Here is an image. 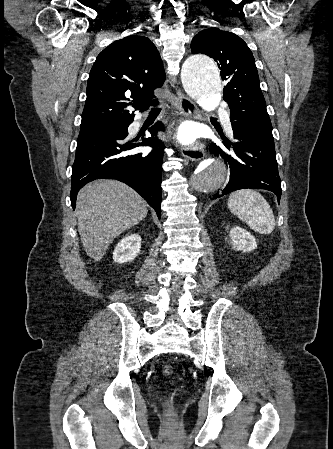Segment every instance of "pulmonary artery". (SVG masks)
I'll list each match as a JSON object with an SVG mask.
<instances>
[{"label":"pulmonary artery","instance_id":"pulmonary-artery-1","mask_svg":"<svg viewBox=\"0 0 333 449\" xmlns=\"http://www.w3.org/2000/svg\"><path fill=\"white\" fill-rule=\"evenodd\" d=\"M225 122H226V125H227L228 127H230V122H229V119H228L227 116L225 117Z\"/></svg>","mask_w":333,"mask_h":449}]
</instances>
